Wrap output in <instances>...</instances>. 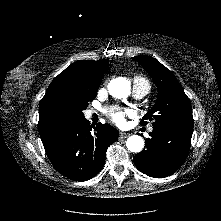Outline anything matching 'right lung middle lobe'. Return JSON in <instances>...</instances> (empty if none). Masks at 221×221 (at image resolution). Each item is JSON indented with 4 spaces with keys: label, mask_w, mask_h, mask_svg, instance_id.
I'll return each mask as SVG.
<instances>
[{
    "label": "right lung middle lobe",
    "mask_w": 221,
    "mask_h": 221,
    "mask_svg": "<svg viewBox=\"0 0 221 221\" xmlns=\"http://www.w3.org/2000/svg\"><path fill=\"white\" fill-rule=\"evenodd\" d=\"M98 85H87L82 83H66L62 86L59 97L61 101L72 111L76 119L84 117L83 110L92 101L98 90Z\"/></svg>",
    "instance_id": "1"
}]
</instances>
